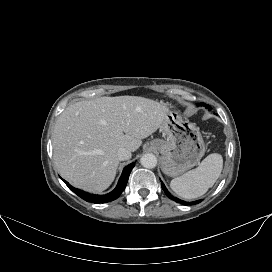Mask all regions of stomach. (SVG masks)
<instances>
[{"label":"stomach","mask_w":272,"mask_h":272,"mask_svg":"<svg viewBox=\"0 0 272 272\" xmlns=\"http://www.w3.org/2000/svg\"><path fill=\"white\" fill-rule=\"evenodd\" d=\"M160 131L165 139H154L150 147L161 154V169L166 175L179 176L199 164L206 147L194 123L169 110Z\"/></svg>","instance_id":"0dacf381"}]
</instances>
